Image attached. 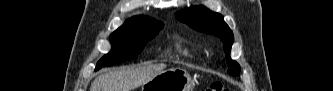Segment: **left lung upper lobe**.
<instances>
[{
  "instance_id": "5c2ea615",
  "label": "left lung upper lobe",
  "mask_w": 333,
  "mask_h": 91,
  "mask_svg": "<svg viewBox=\"0 0 333 91\" xmlns=\"http://www.w3.org/2000/svg\"><path fill=\"white\" fill-rule=\"evenodd\" d=\"M179 21L187 24L191 28L217 36L224 43L223 48L226 53L227 62L230 65L228 73L238 75L239 64L230 58V50L234 41L233 33L219 13L210 11L204 6L186 8L176 13Z\"/></svg>"
}]
</instances>
